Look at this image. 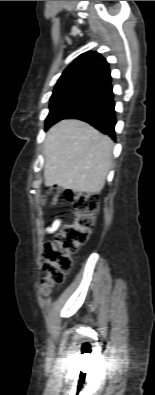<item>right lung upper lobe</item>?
Listing matches in <instances>:
<instances>
[{"mask_svg": "<svg viewBox=\"0 0 155 395\" xmlns=\"http://www.w3.org/2000/svg\"><path fill=\"white\" fill-rule=\"evenodd\" d=\"M111 80L108 62L99 53L89 51L65 69L56 86L83 83L105 89Z\"/></svg>", "mask_w": 155, "mask_h": 395, "instance_id": "obj_1", "label": "right lung upper lobe"}]
</instances>
